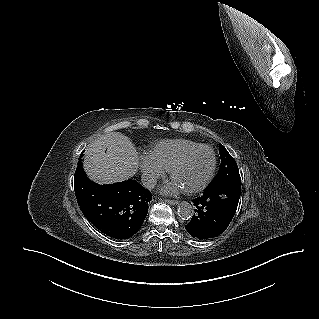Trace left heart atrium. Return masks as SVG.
<instances>
[{"mask_svg":"<svg viewBox=\"0 0 319 319\" xmlns=\"http://www.w3.org/2000/svg\"><path fill=\"white\" fill-rule=\"evenodd\" d=\"M183 190L179 184H177L175 181L171 182L167 186L163 188V192L167 194H175Z\"/></svg>","mask_w":319,"mask_h":319,"instance_id":"left-heart-atrium-1","label":"left heart atrium"}]
</instances>
